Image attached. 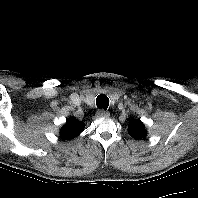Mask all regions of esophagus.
<instances>
[{
	"mask_svg": "<svg viewBox=\"0 0 198 198\" xmlns=\"http://www.w3.org/2000/svg\"><path fill=\"white\" fill-rule=\"evenodd\" d=\"M109 112L108 111H105L103 109H100L97 113H96V117L97 118H107L109 117Z\"/></svg>",
	"mask_w": 198,
	"mask_h": 198,
	"instance_id": "34e87169",
	"label": "esophagus"
}]
</instances>
